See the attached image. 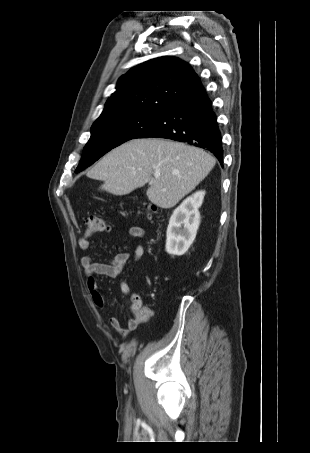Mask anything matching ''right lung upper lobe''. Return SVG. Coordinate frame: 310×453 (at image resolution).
<instances>
[{
  "instance_id": "cb5924a9",
  "label": "right lung upper lobe",
  "mask_w": 310,
  "mask_h": 453,
  "mask_svg": "<svg viewBox=\"0 0 310 453\" xmlns=\"http://www.w3.org/2000/svg\"><path fill=\"white\" fill-rule=\"evenodd\" d=\"M200 85L185 61L171 56L151 59L120 77L99 118L128 112L162 113Z\"/></svg>"
}]
</instances>
